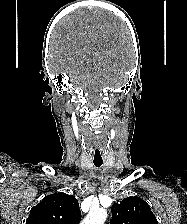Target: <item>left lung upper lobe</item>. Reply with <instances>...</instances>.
I'll use <instances>...</instances> for the list:
<instances>
[{
  "label": "left lung upper lobe",
  "mask_w": 187,
  "mask_h": 224,
  "mask_svg": "<svg viewBox=\"0 0 187 224\" xmlns=\"http://www.w3.org/2000/svg\"><path fill=\"white\" fill-rule=\"evenodd\" d=\"M112 224H158L150 206L141 198L131 196L112 205Z\"/></svg>",
  "instance_id": "obj_1"
}]
</instances>
